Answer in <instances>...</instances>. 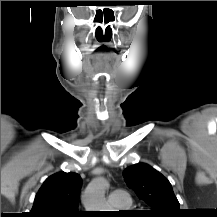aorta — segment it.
I'll return each instance as SVG.
<instances>
[{"mask_svg": "<svg viewBox=\"0 0 217 217\" xmlns=\"http://www.w3.org/2000/svg\"><path fill=\"white\" fill-rule=\"evenodd\" d=\"M108 182L103 177H96L87 186L82 196L86 211H109L105 200Z\"/></svg>", "mask_w": 217, "mask_h": 217, "instance_id": "1", "label": "aorta"}]
</instances>
